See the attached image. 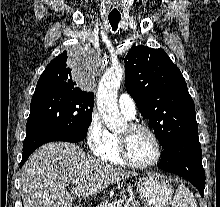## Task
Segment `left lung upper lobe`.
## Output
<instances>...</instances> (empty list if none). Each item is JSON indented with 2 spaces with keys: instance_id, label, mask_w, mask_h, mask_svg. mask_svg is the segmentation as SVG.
I'll return each instance as SVG.
<instances>
[{
  "instance_id": "5c2ea615",
  "label": "left lung upper lobe",
  "mask_w": 220,
  "mask_h": 207,
  "mask_svg": "<svg viewBox=\"0 0 220 207\" xmlns=\"http://www.w3.org/2000/svg\"><path fill=\"white\" fill-rule=\"evenodd\" d=\"M125 66L127 92L164 149L177 138L198 131L185 79L163 49L132 47Z\"/></svg>"
}]
</instances>
